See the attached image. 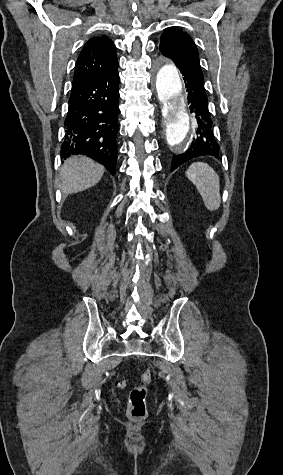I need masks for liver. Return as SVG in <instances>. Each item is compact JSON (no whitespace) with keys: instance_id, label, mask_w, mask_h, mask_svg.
<instances>
[{"instance_id":"6515ba94","label":"liver","mask_w":283,"mask_h":475,"mask_svg":"<svg viewBox=\"0 0 283 475\" xmlns=\"http://www.w3.org/2000/svg\"><path fill=\"white\" fill-rule=\"evenodd\" d=\"M105 172L104 166L86 156H72L65 160L61 170L63 194H77L98 184Z\"/></svg>"}]
</instances>
